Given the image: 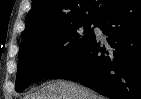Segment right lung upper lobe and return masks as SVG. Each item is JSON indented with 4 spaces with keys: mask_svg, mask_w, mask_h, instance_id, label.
<instances>
[{
    "mask_svg": "<svg viewBox=\"0 0 141 99\" xmlns=\"http://www.w3.org/2000/svg\"><path fill=\"white\" fill-rule=\"evenodd\" d=\"M117 0H32L21 44L80 22L96 21Z\"/></svg>",
    "mask_w": 141,
    "mask_h": 99,
    "instance_id": "cb5924a9",
    "label": "right lung upper lobe"
}]
</instances>
